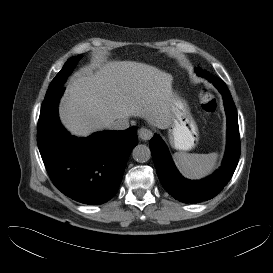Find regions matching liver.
I'll list each match as a JSON object with an SVG mask.
<instances>
[{
    "label": "liver",
    "mask_w": 273,
    "mask_h": 273,
    "mask_svg": "<svg viewBox=\"0 0 273 273\" xmlns=\"http://www.w3.org/2000/svg\"><path fill=\"white\" fill-rule=\"evenodd\" d=\"M173 77L135 61H107L72 77L60 119L74 135L87 137L117 119L141 117L166 129L171 125Z\"/></svg>",
    "instance_id": "1"
}]
</instances>
